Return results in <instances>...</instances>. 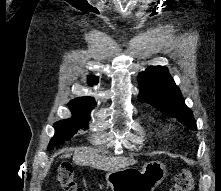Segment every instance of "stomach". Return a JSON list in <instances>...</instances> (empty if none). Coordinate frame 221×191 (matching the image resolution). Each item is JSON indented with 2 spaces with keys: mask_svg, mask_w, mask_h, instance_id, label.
<instances>
[{
  "mask_svg": "<svg viewBox=\"0 0 221 191\" xmlns=\"http://www.w3.org/2000/svg\"><path fill=\"white\" fill-rule=\"evenodd\" d=\"M166 176V168L159 161H151L141 170L126 167L106 174V181L113 191H154Z\"/></svg>",
  "mask_w": 221,
  "mask_h": 191,
  "instance_id": "1",
  "label": "stomach"
}]
</instances>
